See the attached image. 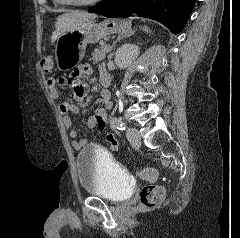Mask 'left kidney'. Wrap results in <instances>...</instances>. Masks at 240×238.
I'll use <instances>...</instances> for the list:
<instances>
[{
  "instance_id": "5707ae66",
  "label": "left kidney",
  "mask_w": 240,
  "mask_h": 238,
  "mask_svg": "<svg viewBox=\"0 0 240 238\" xmlns=\"http://www.w3.org/2000/svg\"><path fill=\"white\" fill-rule=\"evenodd\" d=\"M140 51L137 45L135 44H123L115 52V64L120 69H125L137 58Z\"/></svg>"
}]
</instances>
